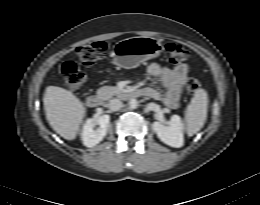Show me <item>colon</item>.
Returning a JSON list of instances; mask_svg holds the SVG:
<instances>
[{"label": "colon", "mask_w": 260, "mask_h": 205, "mask_svg": "<svg viewBox=\"0 0 260 205\" xmlns=\"http://www.w3.org/2000/svg\"><path fill=\"white\" fill-rule=\"evenodd\" d=\"M165 50L172 63H181L188 58V51L178 43H167ZM75 52L82 64L95 65L105 57L106 44L104 42L84 44L77 47ZM62 79L69 90L78 92L83 86L86 76L73 61H66L62 65ZM199 89L198 80L191 78L187 81V90L190 94L197 93Z\"/></svg>", "instance_id": "1"}]
</instances>
